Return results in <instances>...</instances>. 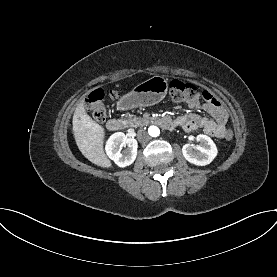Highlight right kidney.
I'll return each mask as SVG.
<instances>
[{
    "instance_id": "right-kidney-1",
    "label": "right kidney",
    "mask_w": 277,
    "mask_h": 277,
    "mask_svg": "<svg viewBox=\"0 0 277 277\" xmlns=\"http://www.w3.org/2000/svg\"><path fill=\"white\" fill-rule=\"evenodd\" d=\"M125 149L122 151V148ZM138 143L134 138H128L122 132L114 133L106 142V153L119 167L131 165L137 156Z\"/></svg>"
}]
</instances>
